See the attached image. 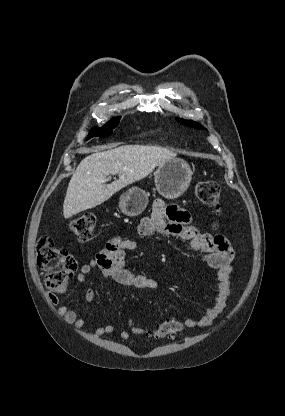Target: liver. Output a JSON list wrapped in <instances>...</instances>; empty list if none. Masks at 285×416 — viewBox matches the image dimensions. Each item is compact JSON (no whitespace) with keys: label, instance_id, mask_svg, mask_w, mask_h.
<instances>
[{"label":"liver","instance_id":"1","mask_svg":"<svg viewBox=\"0 0 285 416\" xmlns=\"http://www.w3.org/2000/svg\"><path fill=\"white\" fill-rule=\"evenodd\" d=\"M115 146L118 144L96 146L92 150L82 148V154L90 156L80 162L69 182L63 204L64 218L100 206L121 188L143 180L156 166L177 156L158 146ZM116 174H119V180L105 184L107 176Z\"/></svg>","mask_w":285,"mask_h":416}]
</instances>
